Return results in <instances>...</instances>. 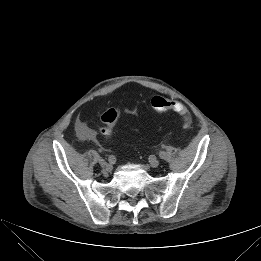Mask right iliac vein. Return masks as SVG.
I'll list each match as a JSON object with an SVG mask.
<instances>
[{"mask_svg": "<svg viewBox=\"0 0 261 261\" xmlns=\"http://www.w3.org/2000/svg\"><path fill=\"white\" fill-rule=\"evenodd\" d=\"M98 163H99V165L102 167V168H104V169H106V170H111L112 169V166L111 165H109L104 159H102V158H100L99 160H98Z\"/></svg>", "mask_w": 261, "mask_h": 261, "instance_id": "1", "label": "right iliac vein"}]
</instances>
